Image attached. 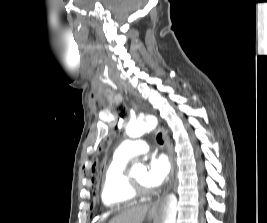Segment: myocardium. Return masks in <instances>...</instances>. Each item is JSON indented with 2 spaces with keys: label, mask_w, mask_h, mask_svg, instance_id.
I'll use <instances>...</instances> for the list:
<instances>
[{
  "label": "myocardium",
  "mask_w": 267,
  "mask_h": 223,
  "mask_svg": "<svg viewBox=\"0 0 267 223\" xmlns=\"http://www.w3.org/2000/svg\"><path fill=\"white\" fill-rule=\"evenodd\" d=\"M128 187L134 198H145L150 194V189L139 185L132 177L128 176Z\"/></svg>",
  "instance_id": "f54148a6"
}]
</instances>
